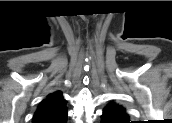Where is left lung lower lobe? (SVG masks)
Listing matches in <instances>:
<instances>
[{
	"label": "left lung lower lobe",
	"mask_w": 172,
	"mask_h": 123,
	"mask_svg": "<svg viewBox=\"0 0 172 123\" xmlns=\"http://www.w3.org/2000/svg\"><path fill=\"white\" fill-rule=\"evenodd\" d=\"M102 123H106V121L102 120Z\"/></svg>",
	"instance_id": "left-lung-lower-lobe-1"
}]
</instances>
